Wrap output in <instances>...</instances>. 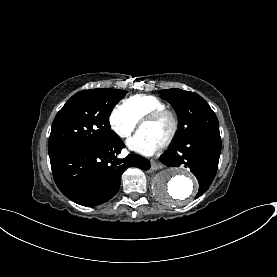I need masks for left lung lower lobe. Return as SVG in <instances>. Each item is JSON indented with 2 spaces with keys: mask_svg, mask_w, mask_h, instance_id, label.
<instances>
[{
  "mask_svg": "<svg viewBox=\"0 0 277 277\" xmlns=\"http://www.w3.org/2000/svg\"><path fill=\"white\" fill-rule=\"evenodd\" d=\"M220 153V133L209 132L173 144L161 155L160 160L169 167L181 165L190 168L199 182L197 198L211 185L218 168Z\"/></svg>",
  "mask_w": 277,
  "mask_h": 277,
  "instance_id": "left-lung-lower-lobe-1",
  "label": "left lung lower lobe"
}]
</instances>
